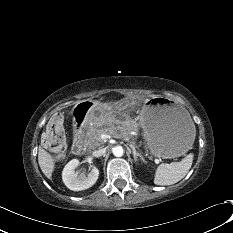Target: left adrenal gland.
Masks as SVG:
<instances>
[{
	"label": "left adrenal gland",
	"mask_w": 233,
	"mask_h": 233,
	"mask_svg": "<svg viewBox=\"0 0 233 233\" xmlns=\"http://www.w3.org/2000/svg\"><path fill=\"white\" fill-rule=\"evenodd\" d=\"M130 147L132 148L133 158H134L135 162H138V158H140L143 162H145L143 156L136 151L135 146L131 144Z\"/></svg>",
	"instance_id": "1"
}]
</instances>
